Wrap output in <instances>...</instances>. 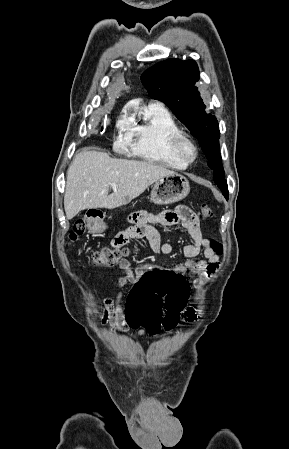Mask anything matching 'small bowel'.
Listing matches in <instances>:
<instances>
[{
    "instance_id": "1",
    "label": "small bowel",
    "mask_w": 289,
    "mask_h": 449,
    "mask_svg": "<svg viewBox=\"0 0 289 449\" xmlns=\"http://www.w3.org/2000/svg\"><path fill=\"white\" fill-rule=\"evenodd\" d=\"M130 222L131 225L128 228L108 235L107 238L112 246L122 248L131 239L145 238L149 241L154 252L169 255L174 251V245L172 243H162L160 235L153 225L169 226L180 223L190 236V242L183 247V254L187 260L175 265L172 270L179 271L180 276L184 278L189 277L196 287H201L218 268L219 255L212 250L210 241L203 238L199 220L186 206H179L173 210H166L161 213L139 211L131 216ZM201 252L204 258H198ZM117 267L124 271V275L116 280L119 293L116 299L106 298L104 300V312L101 322L103 324L110 323L117 331L124 332L131 328L127 316L120 305V301L125 293V287L129 284L133 285L142 276L143 271H146L148 268H155V266L146 263L133 270L130 262L124 258L117 264ZM156 270L159 271V269ZM185 318L187 321H194L197 318L195 309L192 307L187 308ZM144 334V330H139L137 333L138 336Z\"/></svg>"
}]
</instances>
